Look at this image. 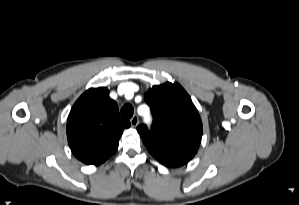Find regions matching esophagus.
<instances>
[{
  "label": "esophagus",
  "mask_w": 299,
  "mask_h": 205,
  "mask_svg": "<svg viewBox=\"0 0 299 205\" xmlns=\"http://www.w3.org/2000/svg\"><path fill=\"white\" fill-rule=\"evenodd\" d=\"M131 126L136 127L139 124V118L137 115H134L130 120Z\"/></svg>",
  "instance_id": "esophagus-1"
}]
</instances>
